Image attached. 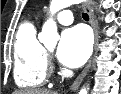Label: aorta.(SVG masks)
I'll return each instance as SVG.
<instances>
[{
    "mask_svg": "<svg viewBox=\"0 0 121 94\" xmlns=\"http://www.w3.org/2000/svg\"><path fill=\"white\" fill-rule=\"evenodd\" d=\"M82 0H51L50 3V12L54 14L59 10L66 8L72 4L79 3ZM39 40L46 46V47H54L59 40V35L57 31L56 22L50 18L48 19L43 27L42 32L39 34ZM88 88L83 87L79 94H87Z\"/></svg>",
    "mask_w": 121,
    "mask_h": 94,
    "instance_id": "762f6f07",
    "label": "aorta"
}]
</instances>
